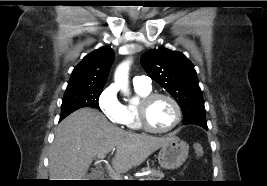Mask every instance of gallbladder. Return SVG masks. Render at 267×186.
<instances>
[{"label": "gallbladder", "mask_w": 267, "mask_h": 186, "mask_svg": "<svg viewBox=\"0 0 267 186\" xmlns=\"http://www.w3.org/2000/svg\"><path fill=\"white\" fill-rule=\"evenodd\" d=\"M93 173H90V174H87L86 177L89 178V177H92Z\"/></svg>", "instance_id": "bac80fb5"}]
</instances>
